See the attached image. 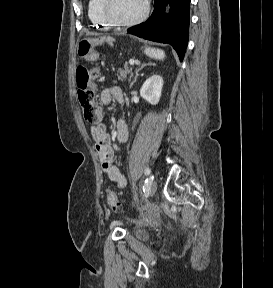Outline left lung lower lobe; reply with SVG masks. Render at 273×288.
I'll return each instance as SVG.
<instances>
[{
	"mask_svg": "<svg viewBox=\"0 0 273 288\" xmlns=\"http://www.w3.org/2000/svg\"><path fill=\"white\" fill-rule=\"evenodd\" d=\"M154 1V11L149 19L127 31L147 40L170 44L182 61L188 44L190 0ZM167 2L171 3V12L166 17Z\"/></svg>",
	"mask_w": 273,
	"mask_h": 288,
	"instance_id": "0a47b994",
	"label": "left lung lower lobe"
}]
</instances>
